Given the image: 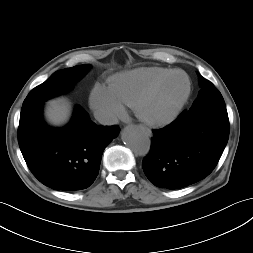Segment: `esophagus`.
<instances>
[{"label": "esophagus", "mask_w": 253, "mask_h": 253, "mask_svg": "<svg viewBox=\"0 0 253 253\" xmlns=\"http://www.w3.org/2000/svg\"><path fill=\"white\" fill-rule=\"evenodd\" d=\"M140 128L144 129V131L150 136L152 134L151 130L149 128H145L143 126H140Z\"/></svg>", "instance_id": "esophagus-1"}]
</instances>
